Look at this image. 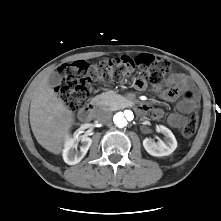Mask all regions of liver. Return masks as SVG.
Here are the masks:
<instances>
[{
  "label": "liver",
  "mask_w": 221,
  "mask_h": 221,
  "mask_svg": "<svg viewBox=\"0 0 221 221\" xmlns=\"http://www.w3.org/2000/svg\"><path fill=\"white\" fill-rule=\"evenodd\" d=\"M48 75L36 86L30 105V125L37 142L53 154H60L74 123V113L48 84Z\"/></svg>",
  "instance_id": "obj_1"
}]
</instances>
